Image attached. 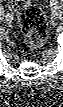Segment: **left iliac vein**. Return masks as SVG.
<instances>
[{
	"mask_svg": "<svg viewBox=\"0 0 63 107\" xmlns=\"http://www.w3.org/2000/svg\"><path fill=\"white\" fill-rule=\"evenodd\" d=\"M52 13H53V16L55 18H60L62 16V10L60 7H55L53 10H52Z\"/></svg>",
	"mask_w": 63,
	"mask_h": 107,
	"instance_id": "4c4485c4",
	"label": "left iliac vein"
}]
</instances>
